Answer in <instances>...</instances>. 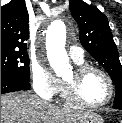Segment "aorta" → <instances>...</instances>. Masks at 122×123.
<instances>
[{
	"label": "aorta",
	"instance_id": "1",
	"mask_svg": "<svg viewBox=\"0 0 122 123\" xmlns=\"http://www.w3.org/2000/svg\"><path fill=\"white\" fill-rule=\"evenodd\" d=\"M66 27L63 21L55 20L48 27L46 50L50 66L57 75L69 70V57L65 50Z\"/></svg>",
	"mask_w": 122,
	"mask_h": 123
}]
</instances>
